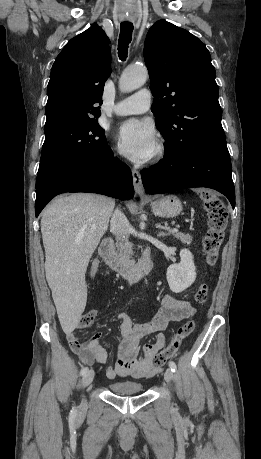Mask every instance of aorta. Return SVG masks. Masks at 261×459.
<instances>
[{
    "mask_svg": "<svg viewBox=\"0 0 261 459\" xmlns=\"http://www.w3.org/2000/svg\"><path fill=\"white\" fill-rule=\"evenodd\" d=\"M148 71L144 66L129 67L124 70L119 80L122 92H132L143 86L147 80Z\"/></svg>",
    "mask_w": 261,
    "mask_h": 459,
    "instance_id": "aorta-1",
    "label": "aorta"
}]
</instances>
